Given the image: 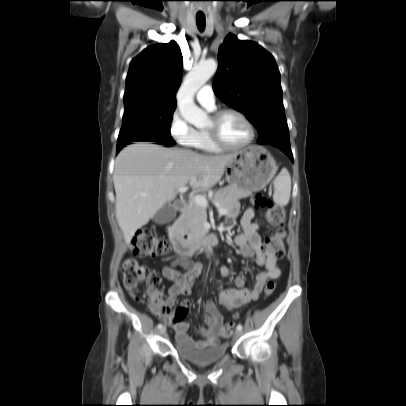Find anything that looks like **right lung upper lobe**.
<instances>
[{"label":"right lung upper lobe","mask_w":406,"mask_h":406,"mask_svg":"<svg viewBox=\"0 0 406 406\" xmlns=\"http://www.w3.org/2000/svg\"><path fill=\"white\" fill-rule=\"evenodd\" d=\"M182 67L183 57L175 41L147 47L130 63L123 98L125 109L175 108Z\"/></svg>","instance_id":"1"}]
</instances>
